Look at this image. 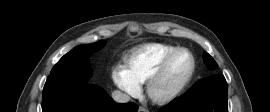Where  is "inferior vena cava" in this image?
I'll list each match as a JSON object with an SVG mask.
<instances>
[{
  "instance_id": "602c4592",
  "label": "inferior vena cava",
  "mask_w": 270,
  "mask_h": 112,
  "mask_svg": "<svg viewBox=\"0 0 270 112\" xmlns=\"http://www.w3.org/2000/svg\"><path fill=\"white\" fill-rule=\"evenodd\" d=\"M112 98L117 103H127L130 100V97L119 90H115L112 92Z\"/></svg>"
}]
</instances>
